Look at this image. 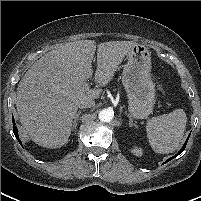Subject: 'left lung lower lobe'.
Instances as JSON below:
<instances>
[{
	"label": "left lung lower lobe",
	"instance_id": "1",
	"mask_svg": "<svg viewBox=\"0 0 201 201\" xmlns=\"http://www.w3.org/2000/svg\"><path fill=\"white\" fill-rule=\"evenodd\" d=\"M189 136H190V135H189ZM189 136H188V138H187L185 144L183 145V147L181 148V150L178 152V154L175 155V157L178 156L179 154H181V153L184 151V149H185V147H186V144H187V142H188ZM173 158H174V157H171V158L167 159V160L164 162V164L167 163V162H169V161L172 160Z\"/></svg>",
	"mask_w": 201,
	"mask_h": 201
}]
</instances>
